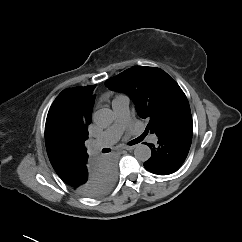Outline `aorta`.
Returning <instances> with one entry per match:
<instances>
[{"mask_svg": "<svg viewBox=\"0 0 242 242\" xmlns=\"http://www.w3.org/2000/svg\"><path fill=\"white\" fill-rule=\"evenodd\" d=\"M94 121L100 127L107 128L114 121V112L110 108H101L94 114ZM134 155L139 161H146L151 157V149L144 144H137Z\"/></svg>", "mask_w": 242, "mask_h": 242, "instance_id": "obj_1", "label": "aorta"}]
</instances>
